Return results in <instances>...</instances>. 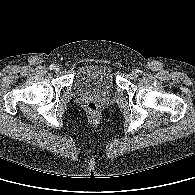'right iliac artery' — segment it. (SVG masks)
<instances>
[{
    "label": "right iliac artery",
    "mask_w": 195,
    "mask_h": 195,
    "mask_svg": "<svg viewBox=\"0 0 195 195\" xmlns=\"http://www.w3.org/2000/svg\"><path fill=\"white\" fill-rule=\"evenodd\" d=\"M49 68H50L51 70H53V69L55 68V66H54V65H50Z\"/></svg>",
    "instance_id": "obj_1"
}]
</instances>
